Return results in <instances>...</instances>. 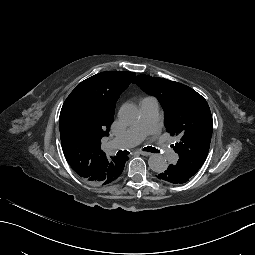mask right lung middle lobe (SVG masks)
Here are the masks:
<instances>
[{
  "instance_id": "right-lung-middle-lobe-1",
  "label": "right lung middle lobe",
  "mask_w": 255,
  "mask_h": 255,
  "mask_svg": "<svg viewBox=\"0 0 255 255\" xmlns=\"http://www.w3.org/2000/svg\"><path fill=\"white\" fill-rule=\"evenodd\" d=\"M79 134H80L79 129H77L75 127H70L65 131L64 137L67 139H73V138H76L77 136H79Z\"/></svg>"
}]
</instances>
